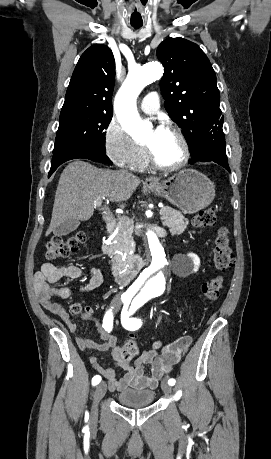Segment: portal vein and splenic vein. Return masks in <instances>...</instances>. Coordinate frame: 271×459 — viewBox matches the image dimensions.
I'll use <instances>...</instances> for the list:
<instances>
[{
  "instance_id": "obj_1",
  "label": "portal vein and splenic vein",
  "mask_w": 271,
  "mask_h": 459,
  "mask_svg": "<svg viewBox=\"0 0 271 459\" xmlns=\"http://www.w3.org/2000/svg\"><path fill=\"white\" fill-rule=\"evenodd\" d=\"M167 216H168L167 214H160V217H161L160 220H161V221H164V219H166Z\"/></svg>"
}]
</instances>
